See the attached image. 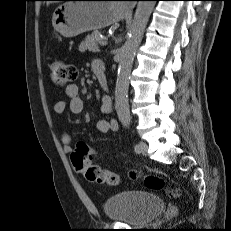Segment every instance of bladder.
Returning a JSON list of instances; mask_svg holds the SVG:
<instances>
[{
	"mask_svg": "<svg viewBox=\"0 0 231 231\" xmlns=\"http://www.w3.org/2000/svg\"><path fill=\"white\" fill-rule=\"evenodd\" d=\"M102 208L110 220L142 226L154 222L163 213L165 202L150 192L128 191L111 196Z\"/></svg>",
	"mask_w": 231,
	"mask_h": 231,
	"instance_id": "bladder-1",
	"label": "bladder"
}]
</instances>
